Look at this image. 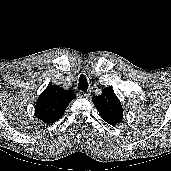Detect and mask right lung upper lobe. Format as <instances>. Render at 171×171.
Wrapping results in <instances>:
<instances>
[{"mask_svg":"<svg viewBox=\"0 0 171 171\" xmlns=\"http://www.w3.org/2000/svg\"><path fill=\"white\" fill-rule=\"evenodd\" d=\"M76 98L71 91L57 85H49L40 95L35 106V115L45 123H54L64 114L69 103Z\"/></svg>","mask_w":171,"mask_h":171,"instance_id":"right-lung-upper-lobe-1","label":"right lung upper lobe"}]
</instances>
